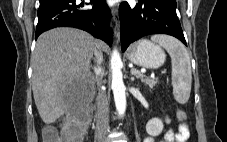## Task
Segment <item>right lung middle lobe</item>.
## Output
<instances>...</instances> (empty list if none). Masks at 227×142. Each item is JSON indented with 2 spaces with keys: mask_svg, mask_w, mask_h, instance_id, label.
Instances as JSON below:
<instances>
[{
  "mask_svg": "<svg viewBox=\"0 0 227 142\" xmlns=\"http://www.w3.org/2000/svg\"><path fill=\"white\" fill-rule=\"evenodd\" d=\"M43 1H45V0H40V2H43Z\"/></svg>",
  "mask_w": 227,
  "mask_h": 142,
  "instance_id": "obj_1",
  "label": "right lung middle lobe"
}]
</instances>
